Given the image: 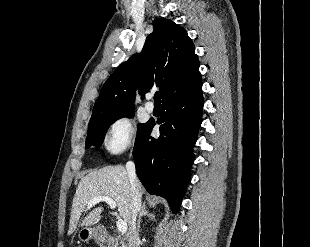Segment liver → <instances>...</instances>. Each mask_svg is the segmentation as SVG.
<instances>
[{"mask_svg":"<svg viewBox=\"0 0 310 247\" xmlns=\"http://www.w3.org/2000/svg\"><path fill=\"white\" fill-rule=\"evenodd\" d=\"M140 192L143 189L140 184ZM108 196L116 202L118 212L123 221L129 226L131 212V185L126 169L121 166H105L93 170L84 176L76 189L73 198L70 226L68 235L72 234L78 224L80 216L88 208V203L95 197ZM103 208L93 209L82 221L83 226H91L101 219Z\"/></svg>","mask_w":310,"mask_h":247,"instance_id":"obj_1","label":"liver"}]
</instances>
